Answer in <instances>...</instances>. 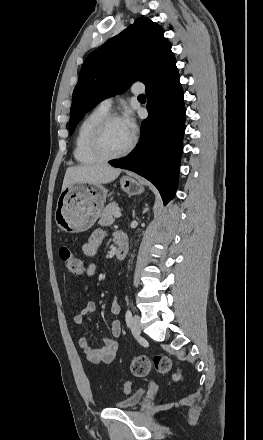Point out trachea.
Returning a JSON list of instances; mask_svg holds the SVG:
<instances>
[{
	"label": "trachea",
	"mask_w": 263,
	"mask_h": 440,
	"mask_svg": "<svg viewBox=\"0 0 263 440\" xmlns=\"http://www.w3.org/2000/svg\"><path fill=\"white\" fill-rule=\"evenodd\" d=\"M138 97H145V95H144V94H141V95H139Z\"/></svg>",
	"instance_id": "1"
}]
</instances>
